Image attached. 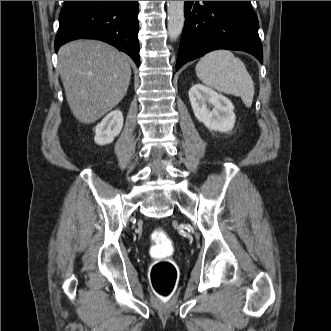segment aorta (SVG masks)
Masks as SVG:
<instances>
[{"mask_svg":"<svg viewBox=\"0 0 331 331\" xmlns=\"http://www.w3.org/2000/svg\"><path fill=\"white\" fill-rule=\"evenodd\" d=\"M184 2L185 1H167V28L169 39L171 41H175L183 30L185 22Z\"/></svg>","mask_w":331,"mask_h":331,"instance_id":"aorta-1","label":"aorta"}]
</instances>
